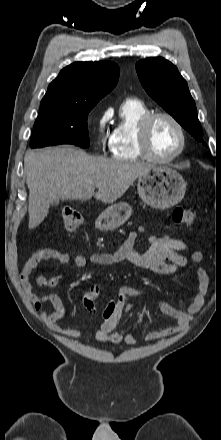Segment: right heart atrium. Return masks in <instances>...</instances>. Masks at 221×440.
Returning <instances> with one entry per match:
<instances>
[{
	"label": "right heart atrium",
	"instance_id": "obj_1",
	"mask_svg": "<svg viewBox=\"0 0 221 440\" xmlns=\"http://www.w3.org/2000/svg\"><path fill=\"white\" fill-rule=\"evenodd\" d=\"M111 119V111L109 109L101 113L97 120V130L100 137V142L103 146H107L110 141V132L108 128V123Z\"/></svg>",
	"mask_w": 221,
	"mask_h": 440
}]
</instances>
